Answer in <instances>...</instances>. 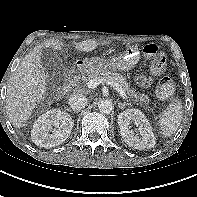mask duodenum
<instances>
[{"mask_svg": "<svg viewBox=\"0 0 197 197\" xmlns=\"http://www.w3.org/2000/svg\"><path fill=\"white\" fill-rule=\"evenodd\" d=\"M83 71H84L83 66L77 65L76 67H74L69 75V84L70 85L77 84L80 80V76L83 73Z\"/></svg>", "mask_w": 197, "mask_h": 197, "instance_id": "obj_1", "label": "duodenum"}]
</instances>
